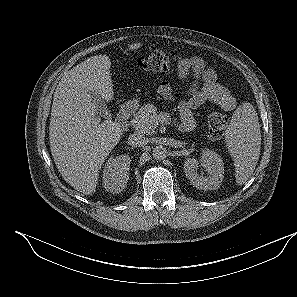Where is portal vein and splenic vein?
Segmentation results:
<instances>
[{"mask_svg":"<svg viewBox=\"0 0 297 297\" xmlns=\"http://www.w3.org/2000/svg\"><path fill=\"white\" fill-rule=\"evenodd\" d=\"M158 122H164V120L159 119Z\"/></svg>","mask_w":297,"mask_h":297,"instance_id":"portal-vein-and-splenic-vein-1","label":"portal vein and splenic vein"}]
</instances>
